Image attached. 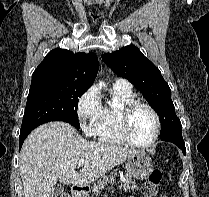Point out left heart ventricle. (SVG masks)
Masks as SVG:
<instances>
[{
  "label": "left heart ventricle",
  "instance_id": "1",
  "mask_svg": "<svg viewBox=\"0 0 209 197\" xmlns=\"http://www.w3.org/2000/svg\"><path fill=\"white\" fill-rule=\"evenodd\" d=\"M155 130V120L152 113L145 107H137L131 116V133L137 142L147 143Z\"/></svg>",
  "mask_w": 209,
  "mask_h": 197
}]
</instances>
